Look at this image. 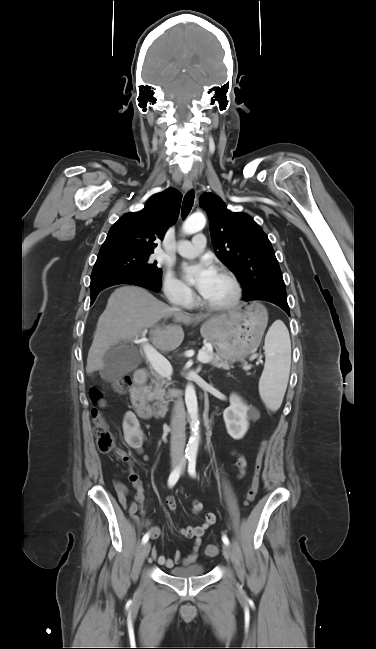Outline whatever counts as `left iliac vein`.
<instances>
[{"mask_svg": "<svg viewBox=\"0 0 376 649\" xmlns=\"http://www.w3.org/2000/svg\"><path fill=\"white\" fill-rule=\"evenodd\" d=\"M222 552H223V555H224L225 559L227 561H229L230 558H231V551H230V548L228 547V545L224 544L222 546Z\"/></svg>", "mask_w": 376, "mask_h": 649, "instance_id": "1", "label": "left iliac vein"}]
</instances>
